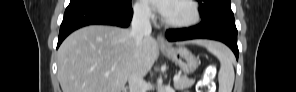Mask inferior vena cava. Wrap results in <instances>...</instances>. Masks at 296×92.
<instances>
[{
  "label": "inferior vena cava",
  "instance_id": "obj_1",
  "mask_svg": "<svg viewBox=\"0 0 296 92\" xmlns=\"http://www.w3.org/2000/svg\"><path fill=\"white\" fill-rule=\"evenodd\" d=\"M131 37L138 48L144 37L150 36L152 28L150 23V9L147 5H139L134 8L131 24ZM130 92H146V84L143 76L135 71L128 79Z\"/></svg>",
  "mask_w": 296,
  "mask_h": 92
}]
</instances>
